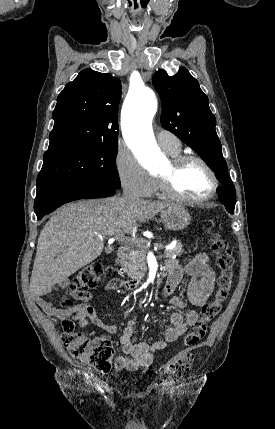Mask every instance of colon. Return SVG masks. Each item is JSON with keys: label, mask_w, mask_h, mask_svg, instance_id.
Instances as JSON below:
<instances>
[{"label": "colon", "mask_w": 275, "mask_h": 429, "mask_svg": "<svg viewBox=\"0 0 275 429\" xmlns=\"http://www.w3.org/2000/svg\"><path fill=\"white\" fill-rule=\"evenodd\" d=\"M210 244L220 269L216 297L212 302L202 307L198 321L184 336L185 349L175 355L163 367L160 377L162 382L177 381L187 375L194 362V355L191 349L205 337L208 324L220 313L223 303L232 289L233 252L226 239L213 230L210 231ZM103 273L104 268L99 263H92L83 267L72 280L67 293L73 295L78 291H82V289L96 287ZM62 303L64 306L71 305V301L66 297ZM62 327V342L76 362L87 364L98 372L105 373L110 370L114 348L109 338L106 336L89 338L85 334L78 332L75 324L68 319L63 321Z\"/></svg>", "instance_id": "5ec220e1"}]
</instances>
